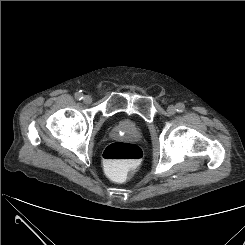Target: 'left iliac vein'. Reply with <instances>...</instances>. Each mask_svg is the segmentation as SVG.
Returning <instances> with one entry per match:
<instances>
[{"mask_svg": "<svg viewBox=\"0 0 245 245\" xmlns=\"http://www.w3.org/2000/svg\"><path fill=\"white\" fill-rule=\"evenodd\" d=\"M167 112H168L170 115L175 114V113H176V107L173 106V105L168 106Z\"/></svg>", "mask_w": 245, "mask_h": 245, "instance_id": "4c4485c4", "label": "left iliac vein"}]
</instances>
